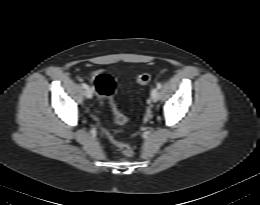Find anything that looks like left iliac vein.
<instances>
[{
    "mask_svg": "<svg viewBox=\"0 0 260 205\" xmlns=\"http://www.w3.org/2000/svg\"><path fill=\"white\" fill-rule=\"evenodd\" d=\"M159 97H160V92L158 88H153L151 91V100L153 102H157L159 100Z\"/></svg>",
    "mask_w": 260,
    "mask_h": 205,
    "instance_id": "1",
    "label": "left iliac vein"
}]
</instances>
